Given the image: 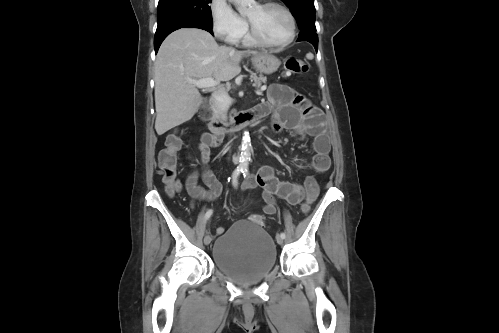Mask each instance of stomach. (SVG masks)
<instances>
[{"label": "stomach", "instance_id": "obj_1", "mask_svg": "<svg viewBox=\"0 0 499 333\" xmlns=\"http://www.w3.org/2000/svg\"><path fill=\"white\" fill-rule=\"evenodd\" d=\"M251 61L255 69L259 73L264 74H272L276 72L280 66V60L276 56L267 52L254 55L251 58Z\"/></svg>", "mask_w": 499, "mask_h": 333}]
</instances>
